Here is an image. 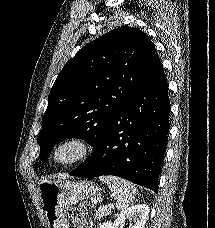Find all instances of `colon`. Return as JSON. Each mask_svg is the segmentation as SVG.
<instances>
[{
	"label": "colon",
	"mask_w": 215,
	"mask_h": 228,
	"mask_svg": "<svg viewBox=\"0 0 215 228\" xmlns=\"http://www.w3.org/2000/svg\"><path fill=\"white\" fill-rule=\"evenodd\" d=\"M75 225H76V228H84V223H83V221L82 220H80V219H77L76 221H75Z\"/></svg>",
	"instance_id": "colon-1"
}]
</instances>
